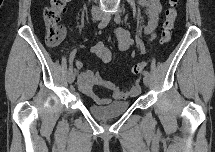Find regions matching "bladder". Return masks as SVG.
<instances>
[{"label":"bladder","mask_w":215,"mask_h":152,"mask_svg":"<svg viewBox=\"0 0 215 152\" xmlns=\"http://www.w3.org/2000/svg\"><path fill=\"white\" fill-rule=\"evenodd\" d=\"M130 105V101H115L106 105L91 104L89 111L99 119H109L125 113Z\"/></svg>","instance_id":"31cf9c89"}]
</instances>
